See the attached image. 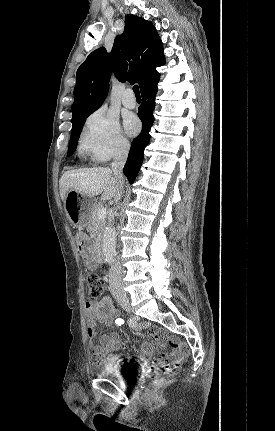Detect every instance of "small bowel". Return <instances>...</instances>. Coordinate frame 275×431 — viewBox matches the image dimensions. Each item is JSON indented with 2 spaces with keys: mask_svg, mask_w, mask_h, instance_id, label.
<instances>
[{
  "mask_svg": "<svg viewBox=\"0 0 275 431\" xmlns=\"http://www.w3.org/2000/svg\"><path fill=\"white\" fill-rule=\"evenodd\" d=\"M77 245L80 253L84 258L90 260L91 258V244L86 235L79 233L76 236ZM86 321H87V339L89 347L92 352L93 360L96 364H110L118 362L121 358L119 350L121 348V341L119 336L115 333L104 334L100 337L99 344L95 345L94 340L97 338V324L100 323L109 326L113 323L115 318V307L110 297L105 296L96 302L86 303ZM137 329L145 330L152 334L158 341H163V336L160 331L151 326L148 322L138 324ZM173 351L158 359L159 364L164 365L165 369H169L173 359L181 356L180 343L175 339L169 341ZM153 352V344L145 341L142 346V354L140 359L142 362L147 363L148 357Z\"/></svg>",
  "mask_w": 275,
  "mask_h": 431,
  "instance_id": "small-bowel-1",
  "label": "small bowel"
}]
</instances>
